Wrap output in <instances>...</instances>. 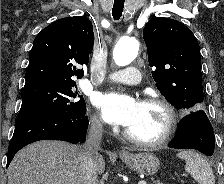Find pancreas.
<instances>
[{
  "instance_id": "obj_1",
  "label": "pancreas",
  "mask_w": 224,
  "mask_h": 184,
  "mask_svg": "<svg viewBox=\"0 0 224 184\" xmlns=\"http://www.w3.org/2000/svg\"><path fill=\"white\" fill-rule=\"evenodd\" d=\"M155 184H164V183H162V182H157V183H155Z\"/></svg>"
}]
</instances>
